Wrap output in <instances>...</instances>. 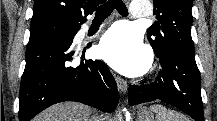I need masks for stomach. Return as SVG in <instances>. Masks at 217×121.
Listing matches in <instances>:
<instances>
[{"mask_svg":"<svg viewBox=\"0 0 217 121\" xmlns=\"http://www.w3.org/2000/svg\"><path fill=\"white\" fill-rule=\"evenodd\" d=\"M137 119L138 121H154V115L147 107L140 106L137 109Z\"/></svg>","mask_w":217,"mask_h":121,"instance_id":"1","label":"stomach"}]
</instances>
